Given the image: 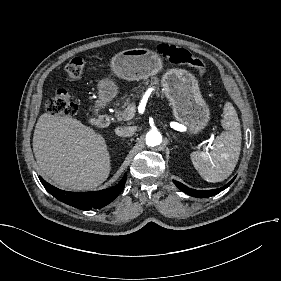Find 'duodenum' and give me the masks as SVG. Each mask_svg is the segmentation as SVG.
Instances as JSON below:
<instances>
[{
	"label": "duodenum",
	"mask_w": 281,
	"mask_h": 281,
	"mask_svg": "<svg viewBox=\"0 0 281 281\" xmlns=\"http://www.w3.org/2000/svg\"><path fill=\"white\" fill-rule=\"evenodd\" d=\"M90 121L97 125L107 126L111 122V117L107 113H102L98 118H92Z\"/></svg>",
	"instance_id": "410a0bca"
}]
</instances>
